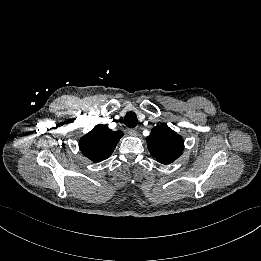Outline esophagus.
Returning a JSON list of instances; mask_svg holds the SVG:
<instances>
[{"label": "esophagus", "instance_id": "esophagus-1", "mask_svg": "<svg viewBox=\"0 0 261 261\" xmlns=\"http://www.w3.org/2000/svg\"><path fill=\"white\" fill-rule=\"evenodd\" d=\"M127 133L131 136H136L137 135V129L135 128H128Z\"/></svg>", "mask_w": 261, "mask_h": 261}]
</instances>
